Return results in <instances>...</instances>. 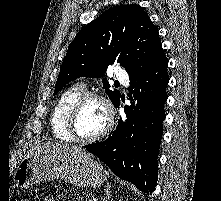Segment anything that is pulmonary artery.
Returning a JSON list of instances; mask_svg holds the SVG:
<instances>
[{"label": "pulmonary artery", "mask_w": 221, "mask_h": 201, "mask_svg": "<svg viewBox=\"0 0 221 201\" xmlns=\"http://www.w3.org/2000/svg\"><path fill=\"white\" fill-rule=\"evenodd\" d=\"M116 78L123 83H127L128 82V74L122 70V69H118L116 71Z\"/></svg>", "instance_id": "obj_1"}]
</instances>
